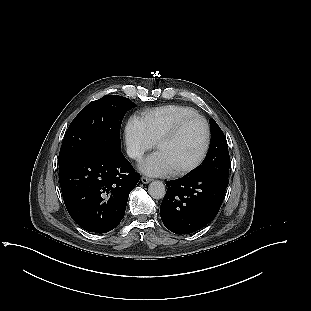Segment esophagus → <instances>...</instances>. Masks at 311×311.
<instances>
[{
	"label": "esophagus",
	"instance_id": "1",
	"mask_svg": "<svg viewBox=\"0 0 311 311\" xmlns=\"http://www.w3.org/2000/svg\"><path fill=\"white\" fill-rule=\"evenodd\" d=\"M150 181H151L150 178H147V177H145V176L141 177V182L144 183V184H147V183H149Z\"/></svg>",
	"mask_w": 311,
	"mask_h": 311
}]
</instances>
